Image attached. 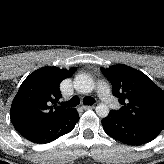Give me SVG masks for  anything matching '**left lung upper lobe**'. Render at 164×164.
<instances>
[{
  "label": "left lung upper lobe",
  "instance_id": "1",
  "mask_svg": "<svg viewBox=\"0 0 164 164\" xmlns=\"http://www.w3.org/2000/svg\"><path fill=\"white\" fill-rule=\"evenodd\" d=\"M111 82L121 108L111 110L119 117L146 127L164 128V91L143 72L117 64L101 68Z\"/></svg>",
  "mask_w": 164,
  "mask_h": 164
}]
</instances>
